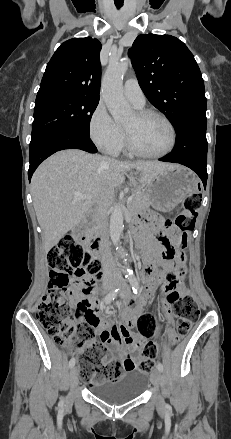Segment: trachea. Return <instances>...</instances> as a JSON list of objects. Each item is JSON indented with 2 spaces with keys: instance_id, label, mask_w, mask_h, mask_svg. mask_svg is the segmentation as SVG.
I'll return each instance as SVG.
<instances>
[{
  "instance_id": "1",
  "label": "trachea",
  "mask_w": 231,
  "mask_h": 439,
  "mask_svg": "<svg viewBox=\"0 0 231 439\" xmlns=\"http://www.w3.org/2000/svg\"><path fill=\"white\" fill-rule=\"evenodd\" d=\"M115 6L120 9L123 6V2H116L115 1Z\"/></svg>"
}]
</instances>
